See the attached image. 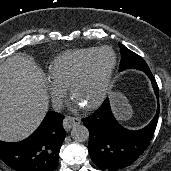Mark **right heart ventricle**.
Wrapping results in <instances>:
<instances>
[{
    "mask_svg": "<svg viewBox=\"0 0 171 171\" xmlns=\"http://www.w3.org/2000/svg\"><path fill=\"white\" fill-rule=\"evenodd\" d=\"M94 51L95 48H83L69 50L58 55L50 66V78L54 82L68 87L75 73Z\"/></svg>",
    "mask_w": 171,
    "mask_h": 171,
    "instance_id": "right-heart-ventricle-1",
    "label": "right heart ventricle"
}]
</instances>
